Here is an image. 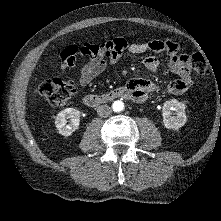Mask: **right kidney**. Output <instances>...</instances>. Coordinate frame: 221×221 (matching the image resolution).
Instances as JSON below:
<instances>
[{"label": "right kidney", "mask_w": 221, "mask_h": 221, "mask_svg": "<svg viewBox=\"0 0 221 221\" xmlns=\"http://www.w3.org/2000/svg\"><path fill=\"white\" fill-rule=\"evenodd\" d=\"M70 118V124L67 119ZM80 111L75 108H67L60 111L55 117V126L58 132L63 136H70L79 127Z\"/></svg>", "instance_id": "ca27d5eb"}]
</instances>
